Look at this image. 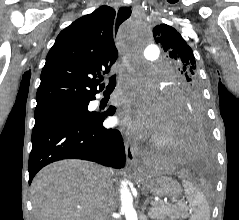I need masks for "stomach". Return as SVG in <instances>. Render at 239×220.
Segmentation results:
<instances>
[{
    "label": "stomach",
    "instance_id": "stomach-1",
    "mask_svg": "<svg viewBox=\"0 0 239 220\" xmlns=\"http://www.w3.org/2000/svg\"><path fill=\"white\" fill-rule=\"evenodd\" d=\"M147 191L160 197H178L181 194L179 183L171 178H151V183H142Z\"/></svg>",
    "mask_w": 239,
    "mask_h": 220
}]
</instances>
